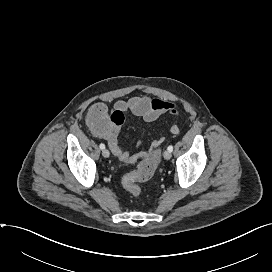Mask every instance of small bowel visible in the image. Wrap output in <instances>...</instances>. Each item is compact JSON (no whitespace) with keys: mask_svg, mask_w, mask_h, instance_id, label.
Returning a JSON list of instances; mask_svg holds the SVG:
<instances>
[{"mask_svg":"<svg viewBox=\"0 0 272 272\" xmlns=\"http://www.w3.org/2000/svg\"><path fill=\"white\" fill-rule=\"evenodd\" d=\"M115 109L123 113L130 112L133 115L140 117L145 122H154L161 115L169 114L171 116H177V107L174 103L165 101L158 98H149L146 96H134L127 100H118L115 103ZM171 133L178 135L180 133L179 126L174 123L171 126ZM119 127H110L103 132H96V135L107 141L109 148L113 154L121 161L133 163L139 159L151 158V152L140 150L137 153L131 154L124 149L118 139ZM163 139L159 138L151 143L152 148H157L162 143ZM142 141H138L137 147H142Z\"/></svg>","mask_w":272,"mask_h":272,"instance_id":"1","label":"small bowel"}]
</instances>
